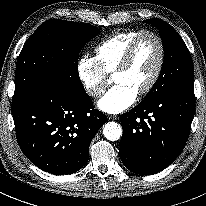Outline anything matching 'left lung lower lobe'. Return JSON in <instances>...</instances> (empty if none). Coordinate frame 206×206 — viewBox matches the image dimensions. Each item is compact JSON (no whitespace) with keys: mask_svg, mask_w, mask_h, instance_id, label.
<instances>
[{"mask_svg":"<svg viewBox=\"0 0 206 206\" xmlns=\"http://www.w3.org/2000/svg\"><path fill=\"white\" fill-rule=\"evenodd\" d=\"M195 112L194 91H177L141 102L120 117V158L130 171H162L182 152Z\"/></svg>","mask_w":206,"mask_h":206,"instance_id":"1","label":"left lung lower lobe"}]
</instances>
